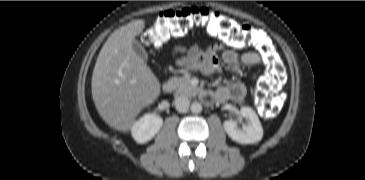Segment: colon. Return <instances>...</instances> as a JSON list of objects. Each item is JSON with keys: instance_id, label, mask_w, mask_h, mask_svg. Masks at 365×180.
I'll return each instance as SVG.
<instances>
[{"instance_id": "5ec220e1", "label": "colon", "mask_w": 365, "mask_h": 180, "mask_svg": "<svg viewBox=\"0 0 365 180\" xmlns=\"http://www.w3.org/2000/svg\"><path fill=\"white\" fill-rule=\"evenodd\" d=\"M199 27L205 28L211 37L233 48L257 44V33L251 27L233 26L220 13L202 7H183L160 12L154 23L143 32L142 40L147 45L158 47ZM259 52L269 69L260 80L256 96L260 105L266 106V115L271 117L279 108L280 98L277 97L276 102L270 98L282 86V68L270 47L263 44Z\"/></svg>"}]
</instances>
